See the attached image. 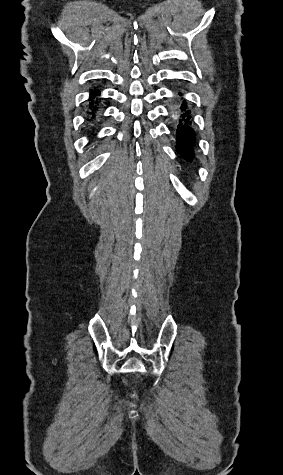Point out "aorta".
<instances>
[{"instance_id": "aorta-1", "label": "aorta", "mask_w": 283, "mask_h": 475, "mask_svg": "<svg viewBox=\"0 0 283 475\" xmlns=\"http://www.w3.org/2000/svg\"><path fill=\"white\" fill-rule=\"evenodd\" d=\"M179 114H180V111H178V109H175L174 117L178 118Z\"/></svg>"}]
</instances>
